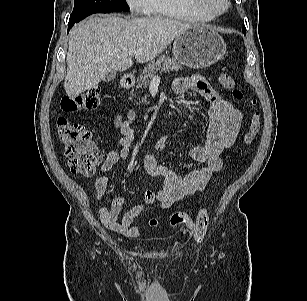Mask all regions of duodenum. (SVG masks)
Returning a JSON list of instances; mask_svg holds the SVG:
<instances>
[{
  "instance_id": "410a0bca",
  "label": "duodenum",
  "mask_w": 307,
  "mask_h": 301,
  "mask_svg": "<svg viewBox=\"0 0 307 301\" xmlns=\"http://www.w3.org/2000/svg\"><path fill=\"white\" fill-rule=\"evenodd\" d=\"M135 77L134 76H127L123 81V86L125 89L129 90L134 86Z\"/></svg>"
}]
</instances>
